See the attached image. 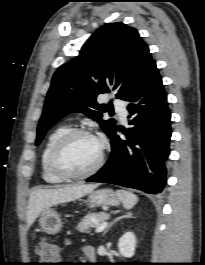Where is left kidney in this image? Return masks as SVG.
<instances>
[{"label": "left kidney", "instance_id": "left-kidney-1", "mask_svg": "<svg viewBox=\"0 0 205 265\" xmlns=\"http://www.w3.org/2000/svg\"><path fill=\"white\" fill-rule=\"evenodd\" d=\"M136 248V237L133 232H126L118 242V249L123 257L131 258L134 256Z\"/></svg>", "mask_w": 205, "mask_h": 265}]
</instances>
